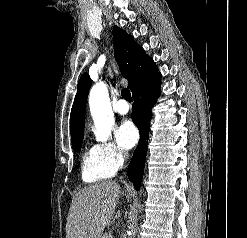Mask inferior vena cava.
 <instances>
[{
  "instance_id": "1",
  "label": "inferior vena cava",
  "mask_w": 247,
  "mask_h": 238,
  "mask_svg": "<svg viewBox=\"0 0 247 238\" xmlns=\"http://www.w3.org/2000/svg\"><path fill=\"white\" fill-rule=\"evenodd\" d=\"M127 156H128V154L125 152V153H124V157H126V158H127Z\"/></svg>"
}]
</instances>
